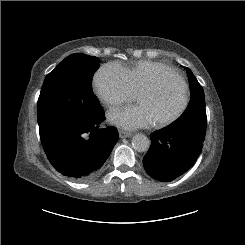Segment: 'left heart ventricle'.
Instances as JSON below:
<instances>
[{
    "label": "left heart ventricle",
    "instance_id": "b2bd125f",
    "mask_svg": "<svg viewBox=\"0 0 245 245\" xmlns=\"http://www.w3.org/2000/svg\"><path fill=\"white\" fill-rule=\"evenodd\" d=\"M161 91L138 95L137 102L147 107L154 122L176 113L183 103V90L173 75H165L156 79Z\"/></svg>",
    "mask_w": 245,
    "mask_h": 245
}]
</instances>
